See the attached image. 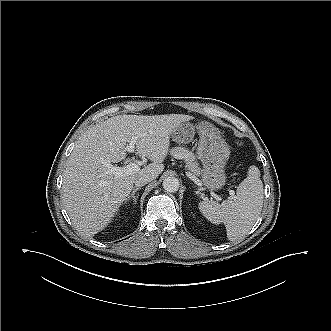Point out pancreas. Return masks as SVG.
<instances>
[{
    "mask_svg": "<svg viewBox=\"0 0 331 331\" xmlns=\"http://www.w3.org/2000/svg\"><path fill=\"white\" fill-rule=\"evenodd\" d=\"M171 154L176 158L184 159L187 168L196 176L201 174V168L199 163L196 161L194 153L186 150L185 148L177 147L171 149Z\"/></svg>",
    "mask_w": 331,
    "mask_h": 331,
    "instance_id": "pancreas-1",
    "label": "pancreas"
}]
</instances>
